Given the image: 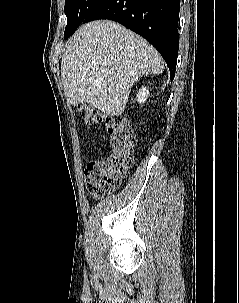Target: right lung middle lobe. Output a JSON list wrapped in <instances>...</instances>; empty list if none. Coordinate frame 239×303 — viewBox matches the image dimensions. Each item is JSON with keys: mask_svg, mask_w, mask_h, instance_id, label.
Returning <instances> with one entry per match:
<instances>
[{"mask_svg": "<svg viewBox=\"0 0 239 303\" xmlns=\"http://www.w3.org/2000/svg\"><path fill=\"white\" fill-rule=\"evenodd\" d=\"M106 0H66L65 14L67 16V26L64 38L71 36L77 27Z\"/></svg>", "mask_w": 239, "mask_h": 303, "instance_id": "1", "label": "right lung middle lobe"}]
</instances>
